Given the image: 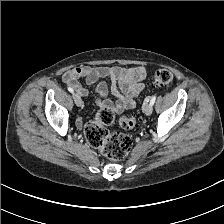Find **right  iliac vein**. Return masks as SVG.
I'll use <instances>...</instances> for the list:
<instances>
[{
    "label": "right iliac vein",
    "mask_w": 224,
    "mask_h": 224,
    "mask_svg": "<svg viewBox=\"0 0 224 224\" xmlns=\"http://www.w3.org/2000/svg\"><path fill=\"white\" fill-rule=\"evenodd\" d=\"M73 99H74L75 104L78 107H81L83 105L82 99H81V97L78 94H76V93L73 94Z\"/></svg>",
    "instance_id": "63e3f726"
}]
</instances>
